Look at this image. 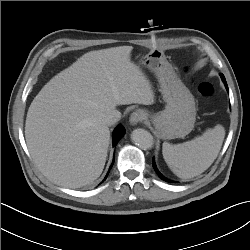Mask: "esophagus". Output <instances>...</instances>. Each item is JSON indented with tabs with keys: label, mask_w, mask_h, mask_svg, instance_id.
Listing matches in <instances>:
<instances>
[{
	"label": "esophagus",
	"mask_w": 250,
	"mask_h": 250,
	"mask_svg": "<svg viewBox=\"0 0 250 250\" xmlns=\"http://www.w3.org/2000/svg\"><path fill=\"white\" fill-rule=\"evenodd\" d=\"M144 119V113L141 110L134 111L129 118V122L132 126L137 125Z\"/></svg>",
	"instance_id": "1"
}]
</instances>
